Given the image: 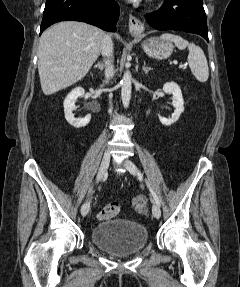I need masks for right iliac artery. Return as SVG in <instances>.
<instances>
[{"label": "right iliac artery", "mask_w": 240, "mask_h": 287, "mask_svg": "<svg viewBox=\"0 0 240 287\" xmlns=\"http://www.w3.org/2000/svg\"><path fill=\"white\" fill-rule=\"evenodd\" d=\"M92 191V187L89 189V193Z\"/></svg>", "instance_id": "1"}]
</instances>
